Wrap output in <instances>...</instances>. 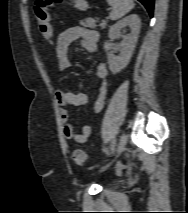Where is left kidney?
<instances>
[{"label":"left kidney","instance_id":"1","mask_svg":"<svg viewBox=\"0 0 188 213\" xmlns=\"http://www.w3.org/2000/svg\"><path fill=\"white\" fill-rule=\"evenodd\" d=\"M130 28V34L122 35L121 30L125 27ZM141 21L138 15L131 14L122 20L116 22L110 27L108 36L110 40L122 38V50L119 56H114L110 50L112 44L108 41L104 44V49L107 52L109 69L113 74L119 73L123 70L130 62L133 51L136 47L138 36L140 32Z\"/></svg>","mask_w":188,"mask_h":213}]
</instances>
